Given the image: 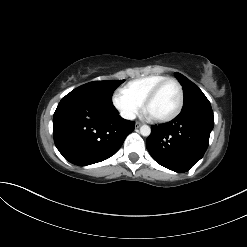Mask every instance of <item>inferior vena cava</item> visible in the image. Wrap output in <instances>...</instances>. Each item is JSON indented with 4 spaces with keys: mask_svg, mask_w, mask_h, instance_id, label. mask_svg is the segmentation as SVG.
Returning a JSON list of instances; mask_svg holds the SVG:
<instances>
[{
    "mask_svg": "<svg viewBox=\"0 0 247 247\" xmlns=\"http://www.w3.org/2000/svg\"><path fill=\"white\" fill-rule=\"evenodd\" d=\"M121 116H122L123 118H125V119H128V120H133V119H135V114L132 113V112H123V113L121 114Z\"/></svg>",
    "mask_w": 247,
    "mask_h": 247,
    "instance_id": "inferior-vena-cava-1",
    "label": "inferior vena cava"
}]
</instances>
